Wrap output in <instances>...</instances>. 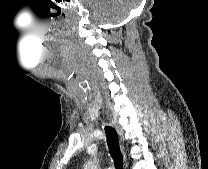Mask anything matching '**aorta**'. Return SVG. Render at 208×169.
<instances>
[{
  "mask_svg": "<svg viewBox=\"0 0 208 169\" xmlns=\"http://www.w3.org/2000/svg\"><path fill=\"white\" fill-rule=\"evenodd\" d=\"M84 169H93V164L92 162H88L85 166H84Z\"/></svg>",
  "mask_w": 208,
  "mask_h": 169,
  "instance_id": "obj_1",
  "label": "aorta"
}]
</instances>
